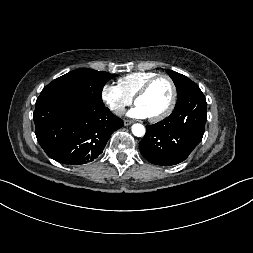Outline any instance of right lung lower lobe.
<instances>
[{
	"label": "right lung lower lobe",
	"instance_id": "right-lung-lower-lobe-1",
	"mask_svg": "<svg viewBox=\"0 0 253 253\" xmlns=\"http://www.w3.org/2000/svg\"><path fill=\"white\" fill-rule=\"evenodd\" d=\"M35 134L46 154L63 164H85L103 151L123 120L95 103L41 94L35 104Z\"/></svg>",
	"mask_w": 253,
	"mask_h": 253
}]
</instances>
